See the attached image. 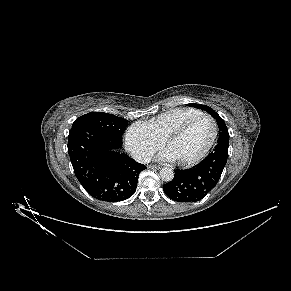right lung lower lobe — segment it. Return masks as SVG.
I'll list each match as a JSON object with an SVG mask.
<instances>
[{"mask_svg":"<svg viewBox=\"0 0 291 291\" xmlns=\"http://www.w3.org/2000/svg\"><path fill=\"white\" fill-rule=\"evenodd\" d=\"M122 142L93 127L70 130L68 153L75 175L94 198L117 202L131 197L147 167L119 152Z\"/></svg>","mask_w":291,"mask_h":291,"instance_id":"obj_1","label":"right lung lower lobe"}]
</instances>
